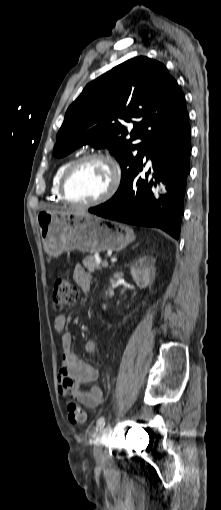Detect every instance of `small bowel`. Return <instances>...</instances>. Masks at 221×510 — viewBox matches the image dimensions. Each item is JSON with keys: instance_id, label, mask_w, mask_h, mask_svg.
Wrapping results in <instances>:
<instances>
[{"instance_id": "1", "label": "small bowel", "mask_w": 221, "mask_h": 510, "mask_svg": "<svg viewBox=\"0 0 221 510\" xmlns=\"http://www.w3.org/2000/svg\"><path fill=\"white\" fill-rule=\"evenodd\" d=\"M73 279L83 290L89 291L92 286V276L82 265H76L73 270ZM67 325L65 315H57L54 319V328L63 331ZM63 346L62 364L59 370V392L63 396H70L87 408L93 409L104 400V388L101 385H93L85 389V385L98 379V371L92 365L81 360L73 351V336L64 333L61 338ZM85 351L88 354H96L98 351L94 341H87Z\"/></svg>"}]
</instances>
